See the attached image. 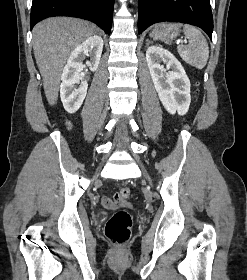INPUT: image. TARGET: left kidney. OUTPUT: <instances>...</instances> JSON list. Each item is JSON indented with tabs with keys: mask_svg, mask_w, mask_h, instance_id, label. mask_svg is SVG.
<instances>
[{
	"mask_svg": "<svg viewBox=\"0 0 247 280\" xmlns=\"http://www.w3.org/2000/svg\"><path fill=\"white\" fill-rule=\"evenodd\" d=\"M147 65L159 99L170 113L185 115L190 106V81L181 63L169 51L150 46L146 51ZM166 65L164 68L161 65ZM167 69H170L167 72Z\"/></svg>",
	"mask_w": 247,
	"mask_h": 280,
	"instance_id": "5707ae66",
	"label": "left kidney"
}]
</instances>
